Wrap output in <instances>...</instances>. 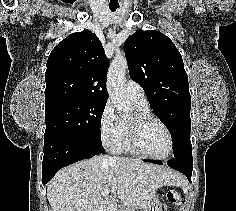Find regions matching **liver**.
I'll list each match as a JSON object with an SVG mask.
<instances>
[{
  "label": "liver",
  "mask_w": 236,
  "mask_h": 211,
  "mask_svg": "<svg viewBox=\"0 0 236 211\" xmlns=\"http://www.w3.org/2000/svg\"><path fill=\"white\" fill-rule=\"evenodd\" d=\"M183 182L166 167L100 155L59 170L47 185V199L51 211H117V195L128 211H142L159 188ZM106 189L111 195L102 196Z\"/></svg>",
  "instance_id": "6515ba94"
}]
</instances>
